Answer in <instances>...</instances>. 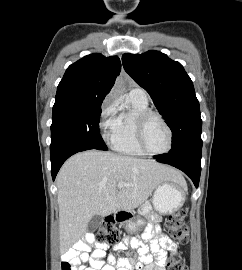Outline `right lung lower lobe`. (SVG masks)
Wrapping results in <instances>:
<instances>
[{
	"label": "right lung lower lobe",
	"mask_w": 242,
	"mask_h": 270,
	"mask_svg": "<svg viewBox=\"0 0 242 270\" xmlns=\"http://www.w3.org/2000/svg\"><path fill=\"white\" fill-rule=\"evenodd\" d=\"M89 149H95L89 146H79V147H72L67 148L64 150L59 151L55 155L51 156V173L53 180L55 179L61 165L73 154Z\"/></svg>",
	"instance_id": "right-lung-lower-lobe-1"
}]
</instances>
